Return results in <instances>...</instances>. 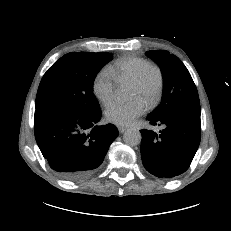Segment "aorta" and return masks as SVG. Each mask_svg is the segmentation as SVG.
Masks as SVG:
<instances>
[{
  "label": "aorta",
  "mask_w": 231,
  "mask_h": 231,
  "mask_svg": "<svg viewBox=\"0 0 231 231\" xmlns=\"http://www.w3.org/2000/svg\"><path fill=\"white\" fill-rule=\"evenodd\" d=\"M116 95L121 98L124 96V91L121 89H118L116 91ZM142 139L141 133L138 129L130 128L127 129L123 134V140L124 142L129 146H136L140 144Z\"/></svg>",
  "instance_id": "obj_1"
}]
</instances>
